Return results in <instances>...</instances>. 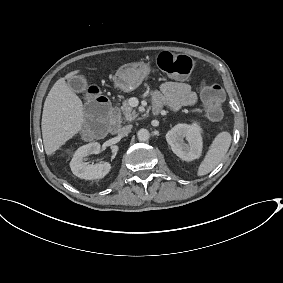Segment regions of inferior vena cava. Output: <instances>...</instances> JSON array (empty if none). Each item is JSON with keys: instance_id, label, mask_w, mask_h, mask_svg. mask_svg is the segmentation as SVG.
<instances>
[{"instance_id": "1", "label": "inferior vena cava", "mask_w": 283, "mask_h": 283, "mask_svg": "<svg viewBox=\"0 0 283 283\" xmlns=\"http://www.w3.org/2000/svg\"><path fill=\"white\" fill-rule=\"evenodd\" d=\"M131 129H132V125L124 126L119 130L118 135L121 137H125L128 135Z\"/></svg>"}]
</instances>
